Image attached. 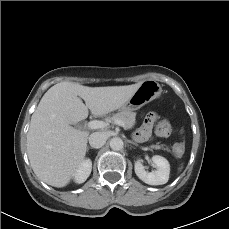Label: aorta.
<instances>
[{
  "mask_svg": "<svg viewBox=\"0 0 229 229\" xmlns=\"http://www.w3.org/2000/svg\"><path fill=\"white\" fill-rule=\"evenodd\" d=\"M123 140L119 137H114L110 140V147L112 150L119 151L123 148Z\"/></svg>",
  "mask_w": 229,
  "mask_h": 229,
  "instance_id": "1",
  "label": "aorta"
}]
</instances>
